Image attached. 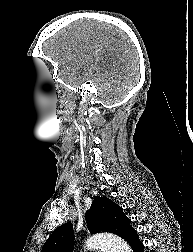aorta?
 Returning a JSON list of instances; mask_svg holds the SVG:
<instances>
[{"label": "aorta", "instance_id": "1", "mask_svg": "<svg viewBox=\"0 0 193 252\" xmlns=\"http://www.w3.org/2000/svg\"><path fill=\"white\" fill-rule=\"evenodd\" d=\"M87 249H101L103 252H131L130 246L120 237L111 234H96L87 239Z\"/></svg>", "mask_w": 193, "mask_h": 252}]
</instances>
